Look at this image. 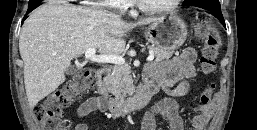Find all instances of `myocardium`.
I'll use <instances>...</instances> for the list:
<instances>
[{"label":"myocardium","instance_id":"myocardium-1","mask_svg":"<svg viewBox=\"0 0 257 130\" xmlns=\"http://www.w3.org/2000/svg\"><path fill=\"white\" fill-rule=\"evenodd\" d=\"M182 0H173L170 4L160 7L151 8L146 6L141 0H135V4L139 10L147 14H164L174 10Z\"/></svg>","mask_w":257,"mask_h":130}]
</instances>
